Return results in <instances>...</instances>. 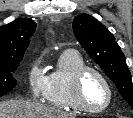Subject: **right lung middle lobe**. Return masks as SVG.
<instances>
[{
  "instance_id": "1",
  "label": "right lung middle lobe",
  "mask_w": 133,
  "mask_h": 118,
  "mask_svg": "<svg viewBox=\"0 0 133 118\" xmlns=\"http://www.w3.org/2000/svg\"><path fill=\"white\" fill-rule=\"evenodd\" d=\"M21 61L0 62V97L11 91L17 84L13 77L14 72Z\"/></svg>"
}]
</instances>
